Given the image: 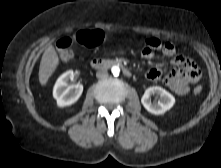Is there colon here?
Masks as SVG:
<instances>
[{"mask_svg":"<svg viewBox=\"0 0 221 168\" xmlns=\"http://www.w3.org/2000/svg\"><path fill=\"white\" fill-rule=\"evenodd\" d=\"M75 40L89 48L97 47L104 41V32L101 30H82L77 33ZM73 39L65 37L57 42V54L61 61H69L73 57ZM145 45L153 50H160L163 44L156 38H148ZM202 92L201 86L194 88V94L199 95Z\"/></svg>","mask_w":221,"mask_h":168,"instance_id":"colon-1","label":"colon"}]
</instances>
